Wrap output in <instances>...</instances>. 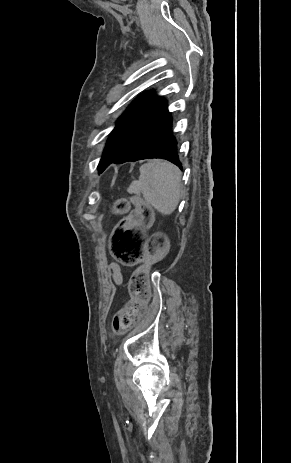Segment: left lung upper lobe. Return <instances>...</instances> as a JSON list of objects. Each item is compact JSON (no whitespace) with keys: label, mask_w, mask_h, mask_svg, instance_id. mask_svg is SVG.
<instances>
[{"label":"left lung upper lobe","mask_w":291,"mask_h":463,"mask_svg":"<svg viewBox=\"0 0 291 463\" xmlns=\"http://www.w3.org/2000/svg\"><path fill=\"white\" fill-rule=\"evenodd\" d=\"M168 116L165 100L152 97L151 92L140 95L120 117L100 162L121 158L130 152Z\"/></svg>","instance_id":"1"}]
</instances>
